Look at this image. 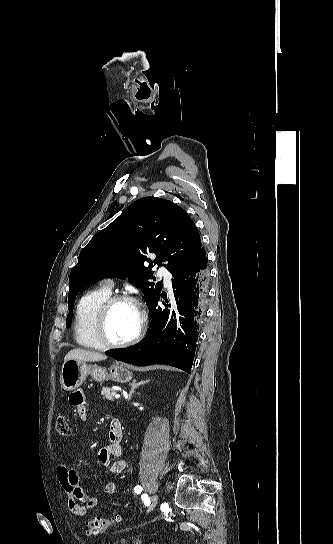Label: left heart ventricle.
Here are the masks:
<instances>
[{"mask_svg": "<svg viewBox=\"0 0 333 544\" xmlns=\"http://www.w3.org/2000/svg\"><path fill=\"white\" fill-rule=\"evenodd\" d=\"M140 323V315L135 306L119 303L111 310L107 320V334L110 340L121 342L132 337Z\"/></svg>", "mask_w": 333, "mask_h": 544, "instance_id": "left-heart-ventricle-1", "label": "left heart ventricle"}]
</instances>
